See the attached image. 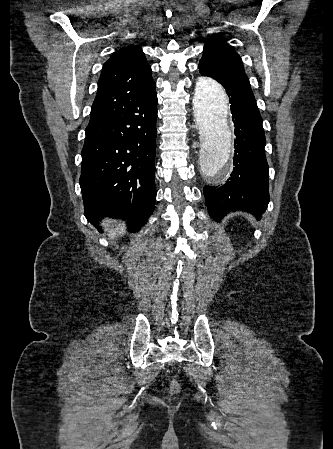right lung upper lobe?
Listing matches in <instances>:
<instances>
[{"label":"right lung upper lobe","instance_id":"right-lung-upper-lobe-1","mask_svg":"<svg viewBox=\"0 0 333 449\" xmlns=\"http://www.w3.org/2000/svg\"><path fill=\"white\" fill-rule=\"evenodd\" d=\"M155 86L151 67L141 47L128 45L121 48L103 66L90 121L124 108Z\"/></svg>","mask_w":333,"mask_h":449}]
</instances>
